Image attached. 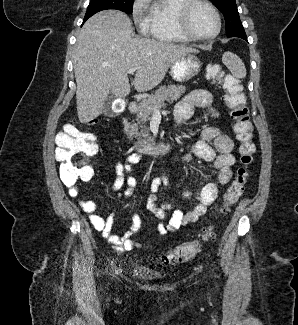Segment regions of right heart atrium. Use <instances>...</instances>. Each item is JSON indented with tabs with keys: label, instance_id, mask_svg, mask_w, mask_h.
I'll list each match as a JSON object with an SVG mask.
<instances>
[{
	"label": "right heart atrium",
	"instance_id": "d8ad5b80",
	"mask_svg": "<svg viewBox=\"0 0 298 325\" xmlns=\"http://www.w3.org/2000/svg\"><path fill=\"white\" fill-rule=\"evenodd\" d=\"M147 3L144 0H136L133 4L131 17L134 23L138 24V32H142V37H155L156 31L153 25H145Z\"/></svg>",
	"mask_w": 298,
	"mask_h": 325
}]
</instances>
